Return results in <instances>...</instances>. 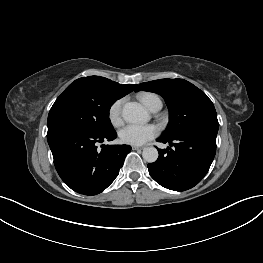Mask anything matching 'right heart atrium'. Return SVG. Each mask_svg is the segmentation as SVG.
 <instances>
[{"label": "right heart atrium", "instance_id": "d8ad5b80", "mask_svg": "<svg viewBox=\"0 0 263 263\" xmlns=\"http://www.w3.org/2000/svg\"><path fill=\"white\" fill-rule=\"evenodd\" d=\"M122 99H118L114 101L108 109V119L110 123L115 126L119 127L122 125V116H121V108H122Z\"/></svg>", "mask_w": 263, "mask_h": 263}]
</instances>
